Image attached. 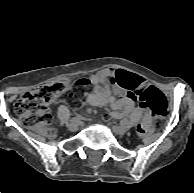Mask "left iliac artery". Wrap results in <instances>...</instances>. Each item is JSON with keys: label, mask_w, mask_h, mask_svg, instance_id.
<instances>
[{"label": "left iliac artery", "mask_w": 194, "mask_h": 193, "mask_svg": "<svg viewBox=\"0 0 194 193\" xmlns=\"http://www.w3.org/2000/svg\"><path fill=\"white\" fill-rule=\"evenodd\" d=\"M126 123H127V119H124V120L121 121V124H123V125L126 124Z\"/></svg>", "instance_id": "left-iliac-artery-1"}]
</instances>
